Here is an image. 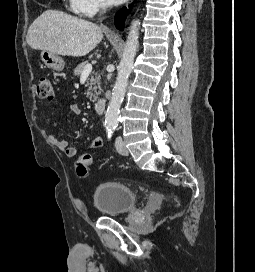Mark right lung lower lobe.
<instances>
[{"instance_id":"obj_1","label":"right lung lower lobe","mask_w":255,"mask_h":272,"mask_svg":"<svg viewBox=\"0 0 255 272\" xmlns=\"http://www.w3.org/2000/svg\"><path fill=\"white\" fill-rule=\"evenodd\" d=\"M127 14H128V10L126 8H123L119 12H117V14L115 16V26L118 29L123 30L122 25L124 23V19H125Z\"/></svg>"}]
</instances>
